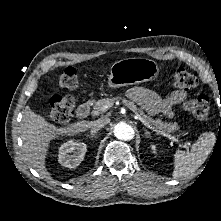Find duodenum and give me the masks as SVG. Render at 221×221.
I'll return each instance as SVG.
<instances>
[{
	"label": "duodenum",
	"instance_id": "1",
	"mask_svg": "<svg viewBox=\"0 0 221 221\" xmlns=\"http://www.w3.org/2000/svg\"><path fill=\"white\" fill-rule=\"evenodd\" d=\"M91 109H92V102L91 101H87V102L82 103L76 111V117L78 119L86 118L90 114Z\"/></svg>",
	"mask_w": 221,
	"mask_h": 221
}]
</instances>
